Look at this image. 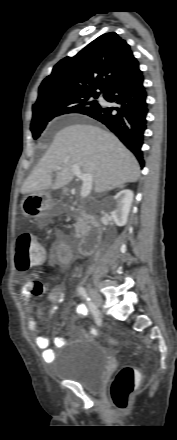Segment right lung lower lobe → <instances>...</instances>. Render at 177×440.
<instances>
[{"instance_id": "1", "label": "right lung lower lobe", "mask_w": 177, "mask_h": 440, "mask_svg": "<svg viewBox=\"0 0 177 440\" xmlns=\"http://www.w3.org/2000/svg\"><path fill=\"white\" fill-rule=\"evenodd\" d=\"M103 96L115 106L98 105L85 115L105 124L134 153L140 166L144 167L141 147L148 108L143 75L139 67L112 85Z\"/></svg>"}]
</instances>
